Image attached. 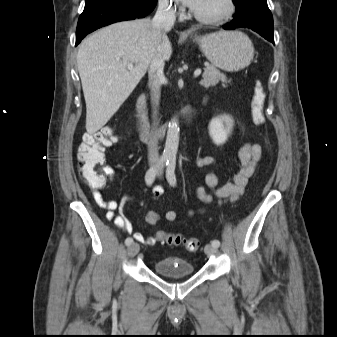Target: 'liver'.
I'll return each mask as SVG.
<instances>
[{
	"instance_id": "1",
	"label": "liver",
	"mask_w": 337,
	"mask_h": 337,
	"mask_svg": "<svg viewBox=\"0 0 337 337\" xmlns=\"http://www.w3.org/2000/svg\"><path fill=\"white\" fill-rule=\"evenodd\" d=\"M169 29L150 19L112 24L85 38L77 54L86 102V130L94 134L118 111L155 58L169 60ZM134 63L132 69L127 65Z\"/></svg>"
}]
</instances>
